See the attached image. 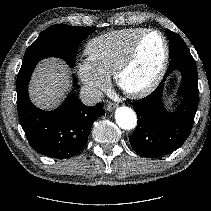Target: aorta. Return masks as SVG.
<instances>
[{"label": "aorta", "instance_id": "1", "mask_svg": "<svg viewBox=\"0 0 211 211\" xmlns=\"http://www.w3.org/2000/svg\"><path fill=\"white\" fill-rule=\"evenodd\" d=\"M115 120L118 126L125 130L133 129L137 124L135 112L127 106H121L116 109Z\"/></svg>", "mask_w": 211, "mask_h": 211}]
</instances>
